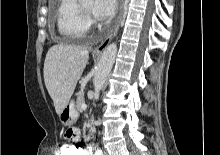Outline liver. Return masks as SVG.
I'll list each match as a JSON object with an SVG mask.
<instances>
[{
    "mask_svg": "<svg viewBox=\"0 0 220 155\" xmlns=\"http://www.w3.org/2000/svg\"><path fill=\"white\" fill-rule=\"evenodd\" d=\"M89 51L81 46L56 44L44 62V82L59 115L69 103L88 62Z\"/></svg>",
    "mask_w": 220,
    "mask_h": 155,
    "instance_id": "6515ba94",
    "label": "liver"
}]
</instances>
